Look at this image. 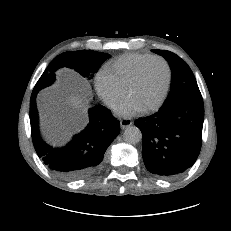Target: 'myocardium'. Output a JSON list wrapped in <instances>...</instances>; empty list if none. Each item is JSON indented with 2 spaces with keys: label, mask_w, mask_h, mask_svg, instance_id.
Segmentation results:
<instances>
[{
  "label": "myocardium",
  "mask_w": 231,
  "mask_h": 231,
  "mask_svg": "<svg viewBox=\"0 0 231 231\" xmlns=\"http://www.w3.org/2000/svg\"><path fill=\"white\" fill-rule=\"evenodd\" d=\"M152 60H159L161 61L164 65H165V68H166V72H167V77H166V82H165V85H164V88H163V91L160 95V97L158 98V100L148 106L147 108L144 109L145 112H151V111H155L156 109H158L164 102L167 94H168V91H169V88H170V84H171V76H172V73H171V68L168 64V62L161 56H157V55H153V56H150L148 57L146 60H144L138 67L137 69L135 70L132 78L130 79L127 87H126V95L129 94V92L131 91V89L136 85V83L139 81L140 77H141V74H142V71L143 69L145 68V66Z\"/></svg>",
  "instance_id": "f54148a6"
}]
</instances>
